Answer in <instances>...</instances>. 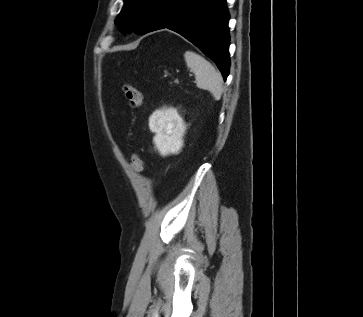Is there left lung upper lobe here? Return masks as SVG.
Masks as SVG:
<instances>
[{
    "label": "left lung upper lobe",
    "instance_id": "1",
    "mask_svg": "<svg viewBox=\"0 0 363 317\" xmlns=\"http://www.w3.org/2000/svg\"><path fill=\"white\" fill-rule=\"evenodd\" d=\"M160 0H124L122 11L117 16L115 24L121 32L135 28L144 33L149 25Z\"/></svg>",
    "mask_w": 363,
    "mask_h": 317
}]
</instances>
